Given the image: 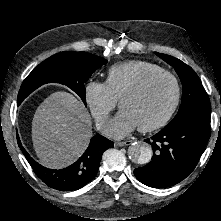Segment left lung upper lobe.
<instances>
[{"label":"left lung upper lobe","mask_w":221,"mask_h":221,"mask_svg":"<svg viewBox=\"0 0 221 221\" xmlns=\"http://www.w3.org/2000/svg\"><path fill=\"white\" fill-rule=\"evenodd\" d=\"M156 55L175 68L183 85L182 102L179 111L163 130L173 129L188 120L210 122L211 105L209 97L194 70L172 56L157 52Z\"/></svg>","instance_id":"left-lung-upper-lobe-1"}]
</instances>
